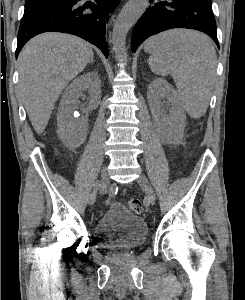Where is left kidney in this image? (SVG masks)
Masks as SVG:
<instances>
[{
	"mask_svg": "<svg viewBox=\"0 0 245 300\" xmlns=\"http://www.w3.org/2000/svg\"><path fill=\"white\" fill-rule=\"evenodd\" d=\"M147 99L160 137L168 143L179 141L183 136L186 114L177 92L165 79L156 78L148 87ZM161 100H167L168 115Z\"/></svg>",
	"mask_w": 245,
	"mask_h": 300,
	"instance_id": "obj_1",
	"label": "left kidney"
}]
</instances>
